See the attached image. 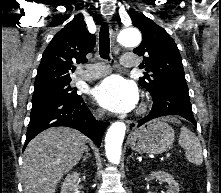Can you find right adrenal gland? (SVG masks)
I'll return each mask as SVG.
<instances>
[{
	"instance_id": "2a0ac1e0",
	"label": "right adrenal gland",
	"mask_w": 221,
	"mask_h": 193,
	"mask_svg": "<svg viewBox=\"0 0 221 193\" xmlns=\"http://www.w3.org/2000/svg\"><path fill=\"white\" fill-rule=\"evenodd\" d=\"M85 153H86V155L83 156L82 162H85L88 158H91V157H92L91 154L89 153V148H88V146L85 147Z\"/></svg>"
}]
</instances>
